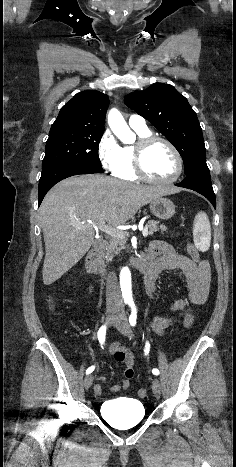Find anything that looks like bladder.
I'll list each match as a JSON object with an SVG mask.
<instances>
[{
  "label": "bladder",
  "mask_w": 236,
  "mask_h": 467,
  "mask_svg": "<svg viewBox=\"0 0 236 467\" xmlns=\"http://www.w3.org/2000/svg\"><path fill=\"white\" fill-rule=\"evenodd\" d=\"M100 412L103 418L116 428L135 426L145 417V408L142 402L126 397L103 402Z\"/></svg>",
  "instance_id": "bladder-1"
}]
</instances>
